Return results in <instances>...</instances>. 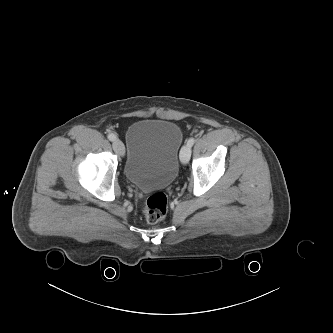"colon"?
<instances>
[{"mask_svg": "<svg viewBox=\"0 0 333 333\" xmlns=\"http://www.w3.org/2000/svg\"><path fill=\"white\" fill-rule=\"evenodd\" d=\"M168 211V199L164 193L151 195L143 209L144 216L149 223H157L165 218Z\"/></svg>", "mask_w": 333, "mask_h": 333, "instance_id": "obj_1", "label": "colon"}]
</instances>
